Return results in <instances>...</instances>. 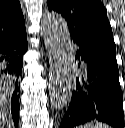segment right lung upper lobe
I'll use <instances>...</instances> for the list:
<instances>
[{"instance_id": "cb5924a9", "label": "right lung upper lobe", "mask_w": 125, "mask_h": 128, "mask_svg": "<svg viewBox=\"0 0 125 128\" xmlns=\"http://www.w3.org/2000/svg\"><path fill=\"white\" fill-rule=\"evenodd\" d=\"M25 30L19 0H0V41Z\"/></svg>"}]
</instances>
